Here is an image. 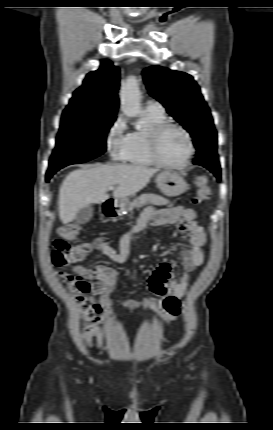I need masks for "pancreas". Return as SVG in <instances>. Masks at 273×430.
Wrapping results in <instances>:
<instances>
[{
  "label": "pancreas",
  "instance_id": "obj_1",
  "mask_svg": "<svg viewBox=\"0 0 273 430\" xmlns=\"http://www.w3.org/2000/svg\"><path fill=\"white\" fill-rule=\"evenodd\" d=\"M148 203H153L154 205L162 206L167 205L169 201L157 194H142L138 198H136L132 203H130L127 211H132L133 208H140L145 206Z\"/></svg>",
  "mask_w": 273,
  "mask_h": 430
}]
</instances>
